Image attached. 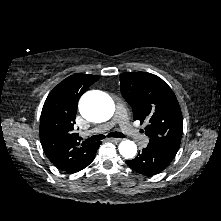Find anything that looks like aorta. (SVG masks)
<instances>
[{
  "instance_id": "aorta-1",
  "label": "aorta",
  "mask_w": 221,
  "mask_h": 221,
  "mask_svg": "<svg viewBox=\"0 0 221 221\" xmlns=\"http://www.w3.org/2000/svg\"><path fill=\"white\" fill-rule=\"evenodd\" d=\"M81 115L92 122H103L112 117L114 103L106 94L88 92L83 95L79 102ZM120 154L127 158H133L137 153V146L133 141L124 140L118 146Z\"/></svg>"
}]
</instances>
